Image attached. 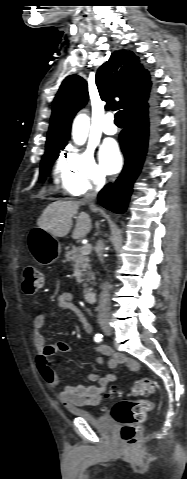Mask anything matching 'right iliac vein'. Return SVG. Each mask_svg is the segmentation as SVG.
Masks as SVG:
<instances>
[{
    "label": "right iliac vein",
    "instance_id": "right-iliac-vein-1",
    "mask_svg": "<svg viewBox=\"0 0 187 479\" xmlns=\"http://www.w3.org/2000/svg\"><path fill=\"white\" fill-rule=\"evenodd\" d=\"M100 327H101L102 331H103L106 335H111V334H112V329H111V327H110V325H109L108 322H102V323L100 324Z\"/></svg>",
    "mask_w": 187,
    "mask_h": 479
}]
</instances>
